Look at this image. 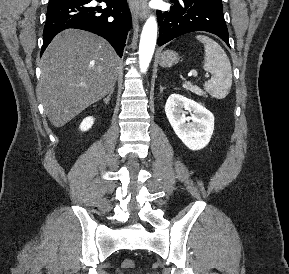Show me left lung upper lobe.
<instances>
[{
    "mask_svg": "<svg viewBox=\"0 0 289 274\" xmlns=\"http://www.w3.org/2000/svg\"><path fill=\"white\" fill-rule=\"evenodd\" d=\"M173 1H178V0H173ZM217 1H221V0H217Z\"/></svg>",
    "mask_w": 289,
    "mask_h": 274,
    "instance_id": "obj_1",
    "label": "left lung upper lobe"
}]
</instances>
